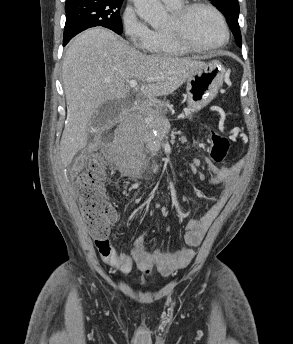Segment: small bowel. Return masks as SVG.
Listing matches in <instances>:
<instances>
[{
	"mask_svg": "<svg viewBox=\"0 0 293 344\" xmlns=\"http://www.w3.org/2000/svg\"><path fill=\"white\" fill-rule=\"evenodd\" d=\"M243 164L238 162L228 167H217L207 161V169L211 176L207 187L222 186V192L217 201L200 218L191 220L186 229L185 243L173 253H166L159 249L147 250L144 238H138L130 253L118 251L108 237L94 241L103 261L121 274L129 273L134 265L139 269L156 266L163 273H170L175 269H183L189 265L194 257L193 247L200 245L211 223L223 209L238 185V177Z\"/></svg>",
	"mask_w": 293,
	"mask_h": 344,
	"instance_id": "1",
	"label": "small bowel"
}]
</instances>
